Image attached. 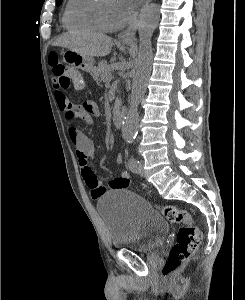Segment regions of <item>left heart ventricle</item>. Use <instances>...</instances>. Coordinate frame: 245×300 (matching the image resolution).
Listing matches in <instances>:
<instances>
[{
    "label": "left heart ventricle",
    "instance_id": "left-heart-ventricle-1",
    "mask_svg": "<svg viewBox=\"0 0 245 300\" xmlns=\"http://www.w3.org/2000/svg\"><path fill=\"white\" fill-rule=\"evenodd\" d=\"M102 5L104 14L110 23H119L125 20L119 2L116 0H103Z\"/></svg>",
    "mask_w": 245,
    "mask_h": 300
}]
</instances>
